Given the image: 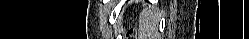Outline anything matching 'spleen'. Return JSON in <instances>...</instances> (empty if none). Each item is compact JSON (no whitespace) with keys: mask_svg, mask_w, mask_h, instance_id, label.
<instances>
[{"mask_svg":"<svg viewBox=\"0 0 249 39\" xmlns=\"http://www.w3.org/2000/svg\"><path fill=\"white\" fill-rule=\"evenodd\" d=\"M161 19L160 11L156 8H145L139 19V34L142 39L153 37L158 30Z\"/></svg>","mask_w":249,"mask_h":39,"instance_id":"obj_1","label":"spleen"}]
</instances>
